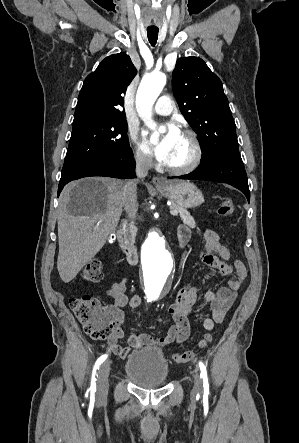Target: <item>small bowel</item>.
I'll return each mask as SVG.
<instances>
[{
	"mask_svg": "<svg viewBox=\"0 0 299 443\" xmlns=\"http://www.w3.org/2000/svg\"><path fill=\"white\" fill-rule=\"evenodd\" d=\"M205 249L200 254L201 261L213 271L223 276H229L228 285L220 287L216 292L206 290L204 301L211 306L212 315L204 319L203 326L206 330H213L215 324H221L228 311L231 309L237 295V291L242 287L248 277L245 265L238 259L233 258L230 251L220 243L218 234L213 230H206L203 234ZM190 239V229L182 224L178 227V240L187 243ZM128 279L124 278L114 283L108 290L107 295L112 297L114 305L110 307L117 318L118 327L113 337L108 343V350L121 358H125L132 348L151 346L163 348L172 343H183L190 335V325L188 317L193 313L199 294L202 289L199 287H181L175 301L168 307V314L171 324L162 336L152 337L149 334H130L128 345L122 346L119 340L123 337L120 325L124 321L122 307L128 305L130 308H137L141 304V297L134 294L131 297L126 295Z\"/></svg>",
	"mask_w": 299,
	"mask_h": 443,
	"instance_id": "c3829d8e",
	"label": "small bowel"
}]
</instances>
